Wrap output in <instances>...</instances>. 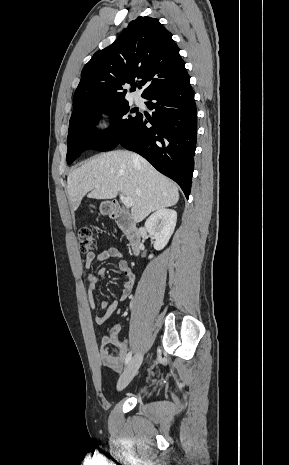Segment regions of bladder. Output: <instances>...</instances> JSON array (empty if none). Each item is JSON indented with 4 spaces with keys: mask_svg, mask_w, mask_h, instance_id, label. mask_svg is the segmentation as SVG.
<instances>
[{
    "mask_svg": "<svg viewBox=\"0 0 289 465\" xmlns=\"http://www.w3.org/2000/svg\"><path fill=\"white\" fill-rule=\"evenodd\" d=\"M145 392H146V387L145 386H139L135 391V393L137 395H143Z\"/></svg>",
    "mask_w": 289,
    "mask_h": 465,
    "instance_id": "bladder-1",
    "label": "bladder"
}]
</instances>
